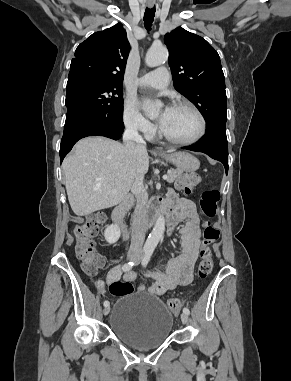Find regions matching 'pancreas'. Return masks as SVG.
I'll use <instances>...</instances> for the list:
<instances>
[{"label":"pancreas","instance_id":"obj_1","mask_svg":"<svg viewBox=\"0 0 291 381\" xmlns=\"http://www.w3.org/2000/svg\"><path fill=\"white\" fill-rule=\"evenodd\" d=\"M181 174V170H173V169H171L170 170V172L168 173V178H167V182L168 183H172V182H174V180L176 179V177L178 176V175H180Z\"/></svg>","mask_w":291,"mask_h":381}]
</instances>
